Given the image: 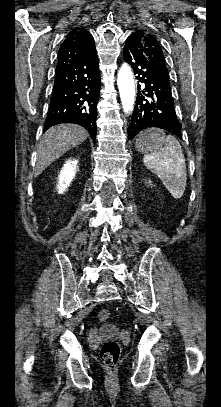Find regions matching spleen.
I'll use <instances>...</instances> for the list:
<instances>
[{
    "instance_id": "obj_1",
    "label": "spleen",
    "mask_w": 221,
    "mask_h": 407,
    "mask_svg": "<svg viewBox=\"0 0 221 407\" xmlns=\"http://www.w3.org/2000/svg\"><path fill=\"white\" fill-rule=\"evenodd\" d=\"M165 146L151 154H145V166L157 175L175 199L185 191L187 172L185 157L179 141L171 135L164 137Z\"/></svg>"
}]
</instances>
